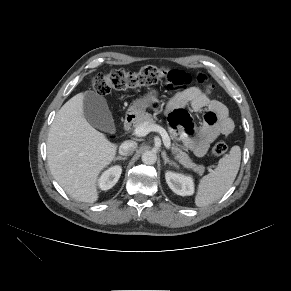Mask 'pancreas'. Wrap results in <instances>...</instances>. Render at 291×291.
<instances>
[{
  "label": "pancreas",
  "instance_id": "pancreas-1",
  "mask_svg": "<svg viewBox=\"0 0 291 291\" xmlns=\"http://www.w3.org/2000/svg\"><path fill=\"white\" fill-rule=\"evenodd\" d=\"M148 122L150 124H155V120L153 116L149 113H143L134 123V127H138L142 125L143 123ZM171 137L175 138V134L172 130H170ZM172 152L174 154V157L180 164H182L185 168L191 169L194 172L198 173L199 175H202L205 168L202 165L195 164L187 153H185L181 148L178 147V145H174L172 147Z\"/></svg>",
  "mask_w": 291,
  "mask_h": 291
}]
</instances>
